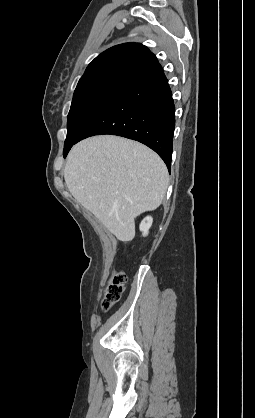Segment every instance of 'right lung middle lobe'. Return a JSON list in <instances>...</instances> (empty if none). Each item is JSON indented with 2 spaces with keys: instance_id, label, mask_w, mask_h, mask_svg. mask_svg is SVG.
Wrapping results in <instances>:
<instances>
[{
  "instance_id": "1",
  "label": "right lung middle lobe",
  "mask_w": 255,
  "mask_h": 418,
  "mask_svg": "<svg viewBox=\"0 0 255 418\" xmlns=\"http://www.w3.org/2000/svg\"><path fill=\"white\" fill-rule=\"evenodd\" d=\"M125 86L96 82L77 86L68 114L67 137L64 148L72 144L94 115Z\"/></svg>"
}]
</instances>
